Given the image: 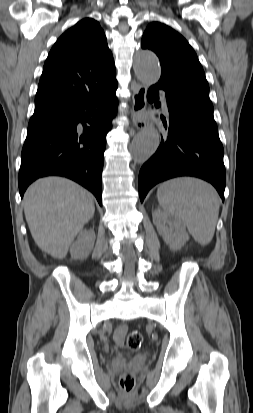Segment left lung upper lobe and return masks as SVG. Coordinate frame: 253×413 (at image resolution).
I'll return each instance as SVG.
<instances>
[{
  "label": "left lung upper lobe",
  "mask_w": 253,
  "mask_h": 413,
  "mask_svg": "<svg viewBox=\"0 0 253 413\" xmlns=\"http://www.w3.org/2000/svg\"><path fill=\"white\" fill-rule=\"evenodd\" d=\"M141 47L151 49L159 57L161 78L157 84L178 89L211 103L203 68L182 35L165 24L154 22L144 32Z\"/></svg>",
  "instance_id": "1"
}]
</instances>
